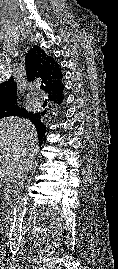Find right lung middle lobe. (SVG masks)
Returning <instances> with one entry per match:
<instances>
[{"label": "right lung middle lobe", "instance_id": "obj_1", "mask_svg": "<svg viewBox=\"0 0 118 269\" xmlns=\"http://www.w3.org/2000/svg\"><path fill=\"white\" fill-rule=\"evenodd\" d=\"M22 110L23 109H20L16 104L1 106L0 107V119L9 117V116H19Z\"/></svg>", "mask_w": 118, "mask_h": 269}]
</instances>
